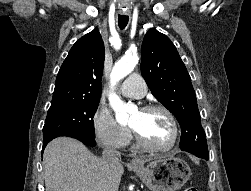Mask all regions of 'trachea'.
Wrapping results in <instances>:
<instances>
[{"label":"trachea","mask_w":251,"mask_h":191,"mask_svg":"<svg viewBox=\"0 0 251 191\" xmlns=\"http://www.w3.org/2000/svg\"><path fill=\"white\" fill-rule=\"evenodd\" d=\"M129 21V17L127 15H118V26L121 30H123Z\"/></svg>","instance_id":"trachea-1"}]
</instances>
